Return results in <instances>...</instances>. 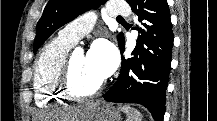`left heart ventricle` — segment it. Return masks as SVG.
Here are the masks:
<instances>
[{
    "label": "left heart ventricle",
    "mask_w": 217,
    "mask_h": 121,
    "mask_svg": "<svg viewBox=\"0 0 217 121\" xmlns=\"http://www.w3.org/2000/svg\"><path fill=\"white\" fill-rule=\"evenodd\" d=\"M101 81L102 79L97 75L95 69L90 65L85 55H73L72 83L76 90L80 92H89L95 89Z\"/></svg>",
    "instance_id": "left-heart-ventricle-1"
}]
</instances>
